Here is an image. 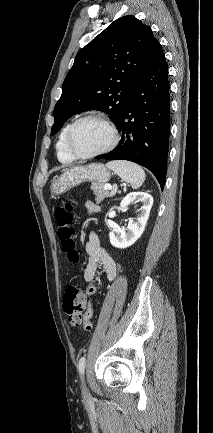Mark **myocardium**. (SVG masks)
<instances>
[{
  "instance_id": "obj_1",
  "label": "myocardium",
  "mask_w": 213,
  "mask_h": 433,
  "mask_svg": "<svg viewBox=\"0 0 213 433\" xmlns=\"http://www.w3.org/2000/svg\"><path fill=\"white\" fill-rule=\"evenodd\" d=\"M89 119H94L97 121H100L101 123H103L109 130L110 135H111V140L109 142V144L94 153H90V154H80L78 153L74 146H73V134L75 129L77 128V126L85 121V120H89ZM119 142V133L116 129V127L114 126V124L104 115L100 114V113H87L81 117H79L78 119H76L70 126L68 132H67V136H66V145H67V149L69 151V153L74 156L77 159H91V158H95L101 155H104L108 152H110L111 150H113L116 145Z\"/></svg>"
}]
</instances>
